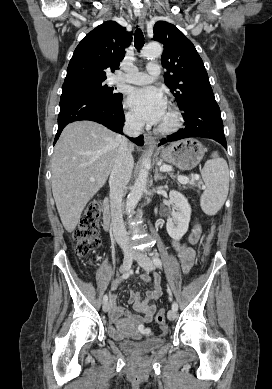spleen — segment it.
<instances>
[{"mask_svg":"<svg viewBox=\"0 0 272 389\" xmlns=\"http://www.w3.org/2000/svg\"><path fill=\"white\" fill-rule=\"evenodd\" d=\"M201 175L205 190L200 198V206L207 215H214L223 206L229 191L227 162L214 152L212 159L205 163Z\"/></svg>","mask_w":272,"mask_h":389,"instance_id":"obj_1","label":"spleen"}]
</instances>
